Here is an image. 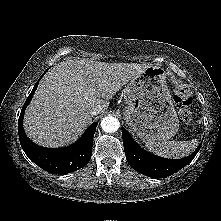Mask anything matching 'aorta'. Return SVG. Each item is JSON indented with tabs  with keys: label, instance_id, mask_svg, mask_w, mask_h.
Listing matches in <instances>:
<instances>
[{
	"label": "aorta",
	"instance_id": "762f6f07",
	"mask_svg": "<svg viewBox=\"0 0 221 221\" xmlns=\"http://www.w3.org/2000/svg\"><path fill=\"white\" fill-rule=\"evenodd\" d=\"M120 127V122L116 117L113 116H105L101 120V128L106 133H113L117 131Z\"/></svg>",
	"mask_w": 221,
	"mask_h": 221
}]
</instances>
